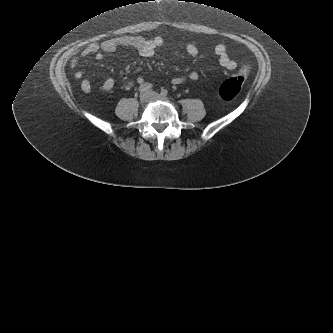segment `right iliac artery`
Here are the masks:
<instances>
[{
	"label": "right iliac artery",
	"instance_id": "82829eb1",
	"mask_svg": "<svg viewBox=\"0 0 333 333\" xmlns=\"http://www.w3.org/2000/svg\"><path fill=\"white\" fill-rule=\"evenodd\" d=\"M151 88H152V84H144V85H141V86L139 87V91H140L141 93H143V92H145V91L150 90Z\"/></svg>",
	"mask_w": 333,
	"mask_h": 333
}]
</instances>
